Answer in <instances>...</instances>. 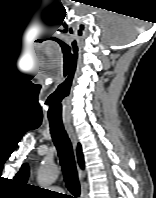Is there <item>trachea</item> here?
Listing matches in <instances>:
<instances>
[{
	"mask_svg": "<svg viewBox=\"0 0 156 198\" xmlns=\"http://www.w3.org/2000/svg\"><path fill=\"white\" fill-rule=\"evenodd\" d=\"M50 131L58 151L66 187L75 196H68L67 198H76L80 195V184L70 139L62 122L50 121Z\"/></svg>",
	"mask_w": 156,
	"mask_h": 198,
	"instance_id": "trachea-1",
	"label": "trachea"
}]
</instances>
